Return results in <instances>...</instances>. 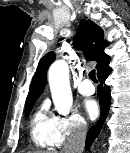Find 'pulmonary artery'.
Returning a JSON list of instances; mask_svg holds the SVG:
<instances>
[{
	"mask_svg": "<svg viewBox=\"0 0 130 153\" xmlns=\"http://www.w3.org/2000/svg\"><path fill=\"white\" fill-rule=\"evenodd\" d=\"M77 90L79 93H81L82 95H86V96L92 95L95 92L94 86L87 79L79 83Z\"/></svg>",
	"mask_w": 130,
	"mask_h": 153,
	"instance_id": "1",
	"label": "pulmonary artery"
}]
</instances>
